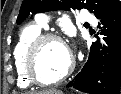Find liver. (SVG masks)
<instances>
[{"label": "liver", "mask_w": 121, "mask_h": 94, "mask_svg": "<svg viewBox=\"0 0 121 94\" xmlns=\"http://www.w3.org/2000/svg\"><path fill=\"white\" fill-rule=\"evenodd\" d=\"M35 94H62V92L56 91V90H46V91L38 92V93H35Z\"/></svg>", "instance_id": "obj_1"}]
</instances>
